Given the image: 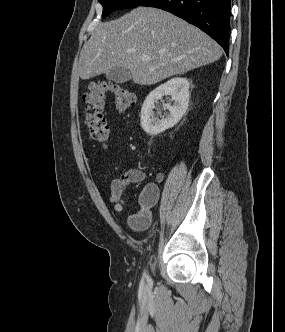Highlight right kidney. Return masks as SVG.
I'll use <instances>...</instances> for the list:
<instances>
[{
  "label": "right kidney",
  "mask_w": 285,
  "mask_h": 332,
  "mask_svg": "<svg viewBox=\"0 0 285 332\" xmlns=\"http://www.w3.org/2000/svg\"><path fill=\"white\" fill-rule=\"evenodd\" d=\"M189 87L190 83L186 78L176 77L149 93L143 103L140 119L141 126L147 134L158 135L180 121L188 108ZM163 96H171L174 101L173 105L165 104L164 107L170 112L165 118L161 116V111L153 112L155 103Z\"/></svg>",
  "instance_id": "right-kidney-1"
}]
</instances>
